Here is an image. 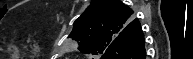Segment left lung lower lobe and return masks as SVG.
<instances>
[{
  "mask_svg": "<svg viewBox=\"0 0 193 59\" xmlns=\"http://www.w3.org/2000/svg\"><path fill=\"white\" fill-rule=\"evenodd\" d=\"M144 36L138 19L132 21L121 38L110 46L101 59H145Z\"/></svg>",
  "mask_w": 193,
  "mask_h": 59,
  "instance_id": "1",
  "label": "left lung lower lobe"
}]
</instances>
